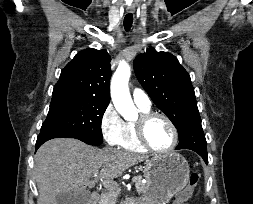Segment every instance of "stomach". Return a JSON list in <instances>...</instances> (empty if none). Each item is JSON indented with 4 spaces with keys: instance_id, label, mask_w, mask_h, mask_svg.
<instances>
[{
    "instance_id": "0dacf381",
    "label": "stomach",
    "mask_w": 253,
    "mask_h": 204,
    "mask_svg": "<svg viewBox=\"0 0 253 204\" xmlns=\"http://www.w3.org/2000/svg\"><path fill=\"white\" fill-rule=\"evenodd\" d=\"M189 165L178 153L155 156L145 163L144 177L147 191L143 198L147 204H167L184 189L189 181Z\"/></svg>"
}]
</instances>
